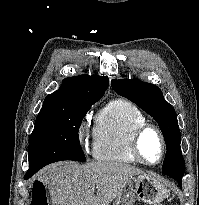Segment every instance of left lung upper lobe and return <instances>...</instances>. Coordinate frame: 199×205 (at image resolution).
<instances>
[{
	"mask_svg": "<svg viewBox=\"0 0 199 205\" xmlns=\"http://www.w3.org/2000/svg\"><path fill=\"white\" fill-rule=\"evenodd\" d=\"M111 85L116 93L134 102L158 123L167 145L162 172L174 177L182 185L185 162L180 147L177 115L164 99L162 91L156 85L141 80L118 79L112 80Z\"/></svg>",
	"mask_w": 199,
	"mask_h": 205,
	"instance_id": "left-lung-upper-lobe-1",
	"label": "left lung upper lobe"
}]
</instances>
